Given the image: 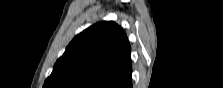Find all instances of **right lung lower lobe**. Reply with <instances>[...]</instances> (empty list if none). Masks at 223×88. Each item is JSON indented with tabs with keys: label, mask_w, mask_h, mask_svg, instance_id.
I'll use <instances>...</instances> for the list:
<instances>
[{
	"label": "right lung lower lobe",
	"mask_w": 223,
	"mask_h": 88,
	"mask_svg": "<svg viewBox=\"0 0 223 88\" xmlns=\"http://www.w3.org/2000/svg\"><path fill=\"white\" fill-rule=\"evenodd\" d=\"M130 86H132V80H130Z\"/></svg>",
	"instance_id": "right-lung-lower-lobe-1"
}]
</instances>
